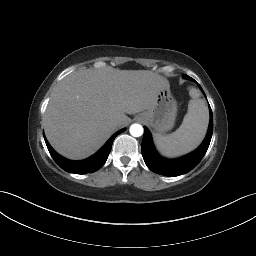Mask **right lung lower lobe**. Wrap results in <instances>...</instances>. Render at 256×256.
I'll return each mask as SVG.
<instances>
[{"label":"right lung lower lobe","mask_w":256,"mask_h":256,"mask_svg":"<svg viewBox=\"0 0 256 256\" xmlns=\"http://www.w3.org/2000/svg\"><path fill=\"white\" fill-rule=\"evenodd\" d=\"M124 130L125 129H121L117 131L115 134L112 135V137L106 142V144L96 154L82 161H71L60 156L50 146L45 136H44V139L52 158L63 170L70 173H75V174H86V173H92L97 171L99 168H101L105 164L108 158V155L111 151V147L114 139Z\"/></svg>","instance_id":"obj_1"}]
</instances>
